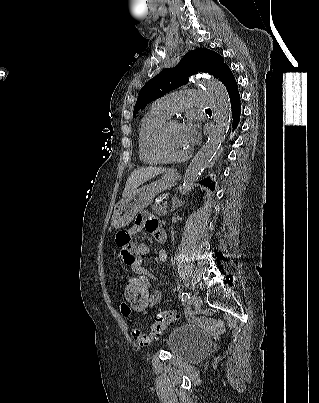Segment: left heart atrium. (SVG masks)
<instances>
[{"label":"left heart atrium","instance_id":"left-heart-atrium-1","mask_svg":"<svg viewBox=\"0 0 319 403\" xmlns=\"http://www.w3.org/2000/svg\"><path fill=\"white\" fill-rule=\"evenodd\" d=\"M183 139L186 145L190 148L197 138V125L194 121H188L181 125Z\"/></svg>","mask_w":319,"mask_h":403}]
</instances>
